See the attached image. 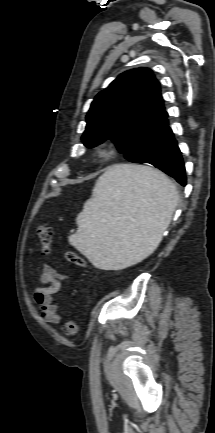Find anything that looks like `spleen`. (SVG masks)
Instances as JSON below:
<instances>
[{"label": "spleen", "mask_w": 215, "mask_h": 433, "mask_svg": "<svg viewBox=\"0 0 215 433\" xmlns=\"http://www.w3.org/2000/svg\"><path fill=\"white\" fill-rule=\"evenodd\" d=\"M178 200L176 186L162 172L113 165L98 178L68 241L97 268H126L158 247Z\"/></svg>", "instance_id": "3e777b00"}]
</instances>
